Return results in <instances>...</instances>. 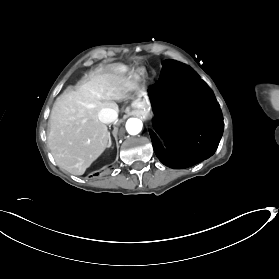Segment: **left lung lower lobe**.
I'll return each instance as SVG.
<instances>
[{
  "label": "left lung lower lobe",
  "instance_id": "1",
  "mask_svg": "<svg viewBox=\"0 0 279 279\" xmlns=\"http://www.w3.org/2000/svg\"><path fill=\"white\" fill-rule=\"evenodd\" d=\"M162 65L159 80L148 90L155 114L149 133L158 159L183 169L214 154L222 115L212 91L191 68L174 60Z\"/></svg>",
  "mask_w": 279,
  "mask_h": 279
}]
</instances>
